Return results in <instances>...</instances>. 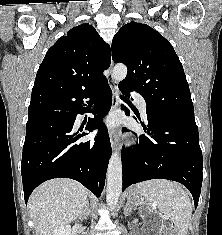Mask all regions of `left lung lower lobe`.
<instances>
[{
  "label": "left lung lower lobe",
  "mask_w": 222,
  "mask_h": 235,
  "mask_svg": "<svg viewBox=\"0 0 222 235\" xmlns=\"http://www.w3.org/2000/svg\"><path fill=\"white\" fill-rule=\"evenodd\" d=\"M119 89L130 97V89L122 86ZM122 107L129 115L130 111ZM141 125L147 136L141 135L139 143L133 147L122 148L123 191L145 180H173L189 189L196 208L203 179L196 123L168 114L147 113V125L142 122Z\"/></svg>",
  "instance_id": "left-lung-lower-lobe-1"
}]
</instances>
